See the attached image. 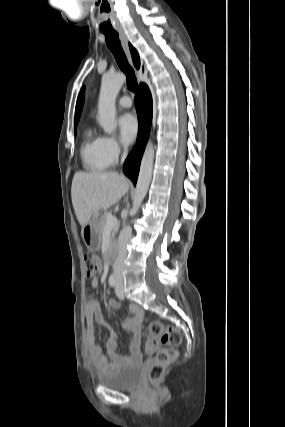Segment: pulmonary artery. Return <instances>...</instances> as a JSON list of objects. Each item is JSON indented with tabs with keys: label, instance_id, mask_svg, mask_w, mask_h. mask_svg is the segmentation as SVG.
<instances>
[{
	"label": "pulmonary artery",
	"instance_id": "pulmonary-artery-1",
	"mask_svg": "<svg viewBox=\"0 0 285 427\" xmlns=\"http://www.w3.org/2000/svg\"><path fill=\"white\" fill-rule=\"evenodd\" d=\"M118 105L123 108H129L132 105V100L129 96H123L119 99Z\"/></svg>",
	"mask_w": 285,
	"mask_h": 427
}]
</instances>
